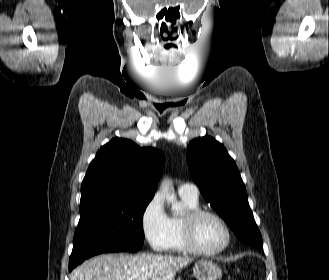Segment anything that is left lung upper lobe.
<instances>
[{
	"label": "left lung upper lobe",
	"mask_w": 329,
	"mask_h": 280,
	"mask_svg": "<svg viewBox=\"0 0 329 280\" xmlns=\"http://www.w3.org/2000/svg\"><path fill=\"white\" fill-rule=\"evenodd\" d=\"M187 161L204 199L227 221L235 235L247 244L262 247L245 185L225 147L209 136L194 139L188 146Z\"/></svg>",
	"instance_id": "left-lung-upper-lobe-1"
}]
</instances>
